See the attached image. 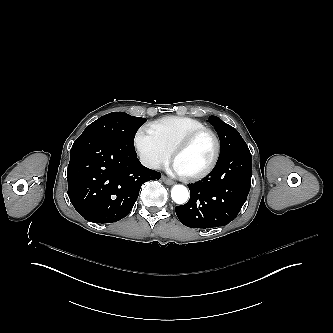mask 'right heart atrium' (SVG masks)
<instances>
[{"instance_id": "obj_1", "label": "right heart atrium", "mask_w": 333, "mask_h": 333, "mask_svg": "<svg viewBox=\"0 0 333 333\" xmlns=\"http://www.w3.org/2000/svg\"><path fill=\"white\" fill-rule=\"evenodd\" d=\"M135 147L143 162L154 170L163 168L170 154L162 144L144 138L142 131L136 136Z\"/></svg>"}]
</instances>
